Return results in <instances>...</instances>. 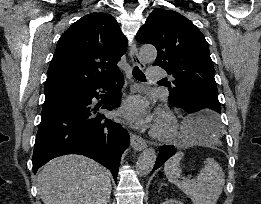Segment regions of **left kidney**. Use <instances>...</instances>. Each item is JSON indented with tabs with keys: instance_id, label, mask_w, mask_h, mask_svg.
I'll list each match as a JSON object with an SVG mask.
<instances>
[{
	"instance_id": "left-kidney-1",
	"label": "left kidney",
	"mask_w": 261,
	"mask_h": 204,
	"mask_svg": "<svg viewBox=\"0 0 261 204\" xmlns=\"http://www.w3.org/2000/svg\"><path fill=\"white\" fill-rule=\"evenodd\" d=\"M161 204H184L176 199H168L164 202H162Z\"/></svg>"
}]
</instances>
